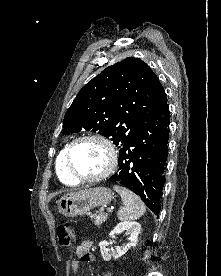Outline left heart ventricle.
I'll use <instances>...</instances> for the list:
<instances>
[{
    "label": "left heart ventricle",
    "instance_id": "1",
    "mask_svg": "<svg viewBox=\"0 0 221 276\" xmlns=\"http://www.w3.org/2000/svg\"><path fill=\"white\" fill-rule=\"evenodd\" d=\"M108 152L103 144L86 140L76 144L71 153V163L81 176L92 177L100 174L108 164Z\"/></svg>",
    "mask_w": 221,
    "mask_h": 276
}]
</instances>
